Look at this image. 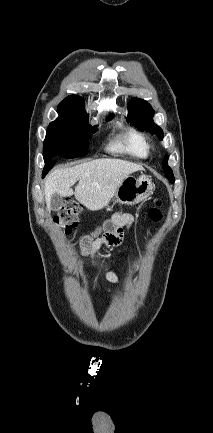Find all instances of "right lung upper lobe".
Returning <instances> with one entry per match:
<instances>
[{
	"label": "right lung upper lobe",
	"mask_w": 213,
	"mask_h": 433,
	"mask_svg": "<svg viewBox=\"0 0 213 433\" xmlns=\"http://www.w3.org/2000/svg\"><path fill=\"white\" fill-rule=\"evenodd\" d=\"M58 110L73 113L88 119V115L84 109V100L78 95L66 97L59 105Z\"/></svg>",
	"instance_id": "cb5924a9"
}]
</instances>
